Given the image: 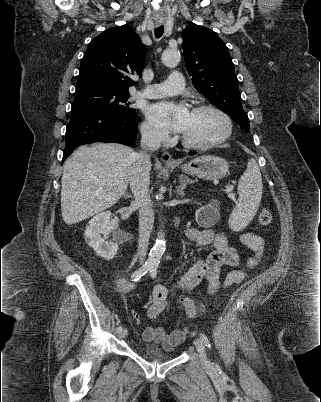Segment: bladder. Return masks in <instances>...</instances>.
<instances>
[{"mask_svg": "<svg viewBox=\"0 0 321 402\" xmlns=\"http://www.w3.org/2000/svg\"><path fill=\"white\" fill-rule=\"evenodd\" d=\"M143 355L152 360H163L172 358L174 354L166 353L157 346H146L143 349Z\"/></svg>", "mask_w": 321, "mask_h": 402, "instance_id": "obj_1", "label": "bladder"}]
</instances>
